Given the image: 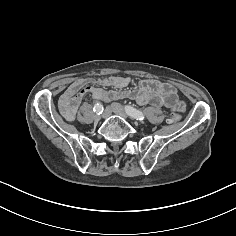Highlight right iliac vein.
Listing matches in <instances>:
<instances>
[{"instance_id":"1","label":"right iliac vein","mask_w":236,"mask_h":236,"mask_svg":"<svg viewBox=\"0 0 236 236\" xmlns=\"http://www.w3.org/2000/svg\"><path fill=\"white\" fill-rule=\"evenodd\" d=\"M110 115H111V110H110L109 107H106L104 112H103V114H102V118L103 119H107V118L110 117Z\"/></svg>"}]
</instances>
